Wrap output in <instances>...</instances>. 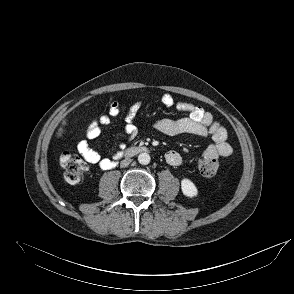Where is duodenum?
<instances>
[{
  "label": "duodenum",
  "instance_id": "1",
  "mask_svg": "<svg viewBox=\"0 0 294 294\" xmlns=\"http://www.w3.org/2000/svg\"><path fill=\"white\" fill-rule=\"evenodd\" d=\"M142 150L139 146H132L126 150V156L131 157Z\"/></svg>",
  "mask_w": 294,
  "mask_h": 294
}]
</instances>
